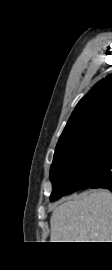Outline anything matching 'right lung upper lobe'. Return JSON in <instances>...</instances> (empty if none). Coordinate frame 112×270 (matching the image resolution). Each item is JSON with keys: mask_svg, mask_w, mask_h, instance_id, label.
I'll return each instance as SVG.
<instances>
[{"mask_svg": "<svg viewBox=\"0 0 112 270\" xmlns=\"http://www.w3.org/2000/svg\"><path fill=\"white\" fill-rule=\"evenodd\" d=\"M106 122H112V74L79 101L57 144Z\"/></svg>", "mask_w": 112, "mask_h": 270, "instance_id": "cb5924a9", "label": "right lung upper lobe"}]
</instances>
